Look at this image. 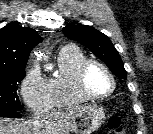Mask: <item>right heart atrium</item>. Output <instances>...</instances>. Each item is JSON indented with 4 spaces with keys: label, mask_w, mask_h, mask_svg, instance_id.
Returning a JSON list of instances; mask_svg holds the SVG:
<instances>
[{
    "label": "right heart atrium",
    "mask_w": 153,
    "mask_h": 134,
    "mask_svg": "<svg viewBox=\"0 0 153 134\" xmlns=\"http://www.w3.org/2000/svg\"><path fill=\"white\" fill-rule=\"evenodd\" d=\"M20 93L25 105L34 114L48 110L47 80L37 65H32L24 75Z\"/></svg>",
    "instance_id": "obj_1"
}]
</instances>
